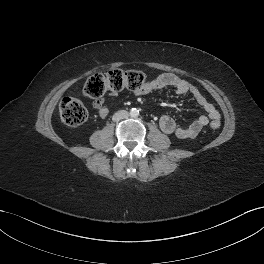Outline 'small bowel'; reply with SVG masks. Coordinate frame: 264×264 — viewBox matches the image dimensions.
Instances as JSON below:
<instances>
[{
  "label": "small bowel",
  "instance_id": "small-bowel-1",
  "mask_svg": "<svg viewBox=\"0 0 264 264\" xmlns=\"http://www.w3.org/2000/svg\"><path fill=\"white\" fill-rule=\"evenodd\" d=\"M171 87L179 94H191L196 102L204 109L206 115L199 116L189 126H178L173 118L163 115L159 119V126L166 134H174L179 139H194L210 121L219 120L220 113L217 108L194 85L173 73H163L146 82L142 88L135 91L136 95H146L156 89ZM97 114L105 118L109 110L103 98H97L93 102Z\"/></svg>",
  "mask_w": 264,
  "mask_h": 264
}]
</instances>
